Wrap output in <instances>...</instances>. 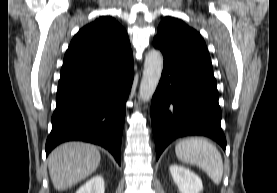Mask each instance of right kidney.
I'll return each instance as SVG.
<instances>
[{"label":"right kidney","instance_id":"1","mask_svg":"<svg viewBox=\"0 0 277 193\" xmlns=\"http://www.w3.org/2000/svg\"><path fill=\"white\" fill-rule=\"evenodd\" d=\"M104 179L101 175H96L81 186L76 193H104Z\"/></svg>","mask_w":277,"mask_h":193}]
</instances>
